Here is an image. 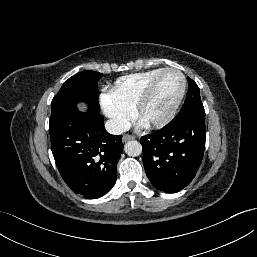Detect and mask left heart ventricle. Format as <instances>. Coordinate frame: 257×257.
Instances as JSON below:
<instances>
[{
    "mask_svg": "<svg viewBox=\"0 0 257 257\" xmlns=\"http://www.w3.org/2000/svg\"><path fill=\"white\" fill-rule=\"evenodd\" d=\"M182 88L181 76L175 72L166 73L159 81L154 95L145 108L143 121L163 117L176 102Z\"/></svg>",
    "mask_w": 257,
    "mask_h": 257,
    "instance_id": "left-heart-ventricle-1",
    "label": "left heart ventricle"
}]
</instances>
